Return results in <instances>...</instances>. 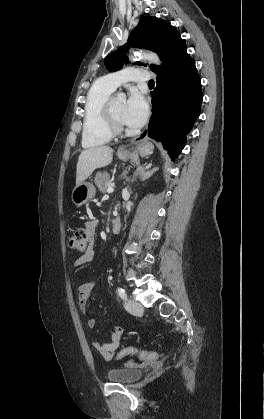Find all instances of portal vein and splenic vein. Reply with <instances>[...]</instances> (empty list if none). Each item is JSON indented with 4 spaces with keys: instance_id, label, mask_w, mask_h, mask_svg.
I'll return each instance as SVG.
<instances>
[{
    "instance_id": "obj_1",
    "label": "portal vein and splenic vein",
    "mask_w": 264,
    "mask_h": 419,
    "mask_svg": "<svg viewBox=\"0 0 264 419\" xmlns=\"http://www.w3.org/2000/svg\"><path fill=\"white\" fill-rule=\"evenodd\" d=\"M114 191V188L113 187H108L107 188V193H112Z\"/></svg>"
}]
</instances>
